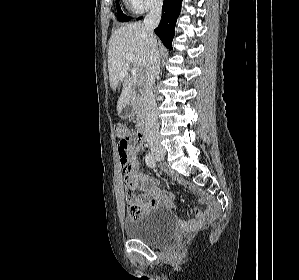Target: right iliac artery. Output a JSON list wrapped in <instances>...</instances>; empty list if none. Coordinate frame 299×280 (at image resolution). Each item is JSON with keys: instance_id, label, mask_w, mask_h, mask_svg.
<instances>
[{"instance_id": "82829eb1", "label": "right iliac artery", "mask_w": 299, "mask_h": 280, "mask_svg": "<svg viewBox=\"0 0 299 280\" xmlns=\"http://www.w3.org/2000/svg\"><path fill=\"white\" fill-rule=\"evenodd\" d=\"M145 161H146V164H147L149 167H151V168H153V167L156 166V161H155L153 155L150 154V153H148V154L146 155V157H145Z\"/></svg>"}]
</instances>
